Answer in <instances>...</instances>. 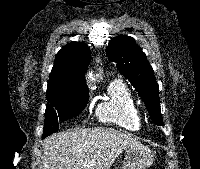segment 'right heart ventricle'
<instances>
[{"label":"right heart ventricle","instance_id":"obj_1","mask_svg":"<svg viewBox=\"0 0 200 169\" xmlns=\"http://www.w3.org/2000/svg\"><path fill=\"white\" fill-rule=\"evenodd\" d=\"M96 116L102 123L124 130L138 131L141 128L138 104L128 86L119 78L108 83L106 96L98 105Z\"/></svg>","mask_w":200,"mask_h":169}]
</instances>
